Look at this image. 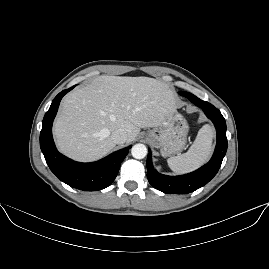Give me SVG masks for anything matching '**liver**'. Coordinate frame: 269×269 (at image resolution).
<instances>
[{
	"label": "liver",
	"mask_w": 269,
	"mask_h": 269,
	"mask_svg": "<svg viewBox=\"0 0 269 269\" xmlns=\"http://www.w3.org/2000/svg\"><path fill=\"white\" fill-rule=\"evenodd\" d=\"M176 109L175 94L164 82L102 75L64 97L53 134L66 156L95 161L115 147L113 131L124 129L130 143L141 128L160 126Z\"/></svg>",
	"instance_id": "6515ba94"
}]
</instances>
